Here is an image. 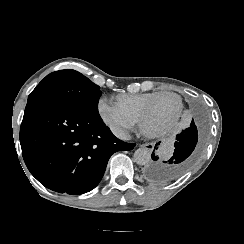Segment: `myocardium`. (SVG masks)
<instances>
[{"mask_svg": "<svg viewBox=\"0 0 244 244\" xmlns=\"http://www.w3.org/2000/svg\"><path fill=\"white\" fill-rule=\"evenodd\" d=\"M163 95H171L174 96L178 100V106L176 110L170 115L167 120H163L162 116H158V118L154 121L149 120L147 117L144 118L146 110L149 109L153 104L156 103V100L161 99ZM183 106L182 98L175 92L166 91L160 94H156L153 96V99L148 101L145 106L142 107L141 113L139 115L140 121L143 122L144 128H150L154 122H158L162 125H170L175 120L176 116L180 113Z\"/></svg>", "mask_w": 244, "mask_h": 244, "instance_id": "f54148a6", "label": "myocardium"}]
</instances>
